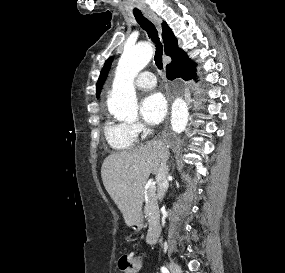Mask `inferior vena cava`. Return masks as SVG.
Returning <instances> with one entry per match:
<instances>
[{"instance_id":"obj_1","label":"inferior vena cava","mask_w":285,"mask_h":273,"mask_svg":"<svg viewBox=\"0 0 285 273\" xmlns=\"http://www.w3.org/2000/svg\"><path fill=\"white\" fill-rule=\"evenodd\" d=\"M167 175L168 166L166 165V161H163L159 168L158 174L156 175V180L158 183L157 198L159 200H162L168 188Z\"/></svg>"}]
</instances>
